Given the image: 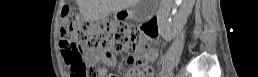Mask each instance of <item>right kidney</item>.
I'll use <instances>...</instances> for the list:
<instances>
[{"label": "right kidney", "mask_w": 258, "mask_h": 77, "mask_svg": "<svg viewBox=\"0 0 258 77\" xmlns=\"http://www.w3.org/2000/svg\"><path fill=\"white\" fill-rule=\"evenodd\" d=\"M184 1H185V0H184ZM172 2H173V1H172ZM172 2H171L170 4H165L164 2H161V7L164 8L165 11L160 12V18H163V19H167V18H168V16H169V10H170V5L172 4ZM175 2L178 4V2H181V0H176ZM189 3H190V5L187 6V7L184 9V11H183L182 20H181V22L177 25V30L180 29V28L184 25V23H185V21H186L188 15L190 14V12H191V10H192V6H193V4H194V0H190Z\"/></svg>", "instance_id": "obj_1"}]
</instances>
